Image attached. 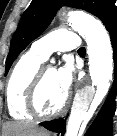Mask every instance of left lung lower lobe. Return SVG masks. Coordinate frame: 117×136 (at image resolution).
<instances>
[{"label":"left lung lower lobe","mask_w":117,"mask_h":136,"mask_svg":"<svg viewBox=\"0 0 117 136\" xmlns=\"http://www.w3.org/2000/svg\"><path fill=\"white\" fill-rule=\"evenodd\" d=\"M104 25L109 31L113 45L115 69L114 83L106 101L97 114V117L84 136H112L111 125L112 117L115 113V96L117 95V14L108 20ZM41 125L50 131L57 133L62 132V134L65 132V121L63 118L43 122Z\"/></svg>","instance_id":"0a47b994"}]
</instances>
